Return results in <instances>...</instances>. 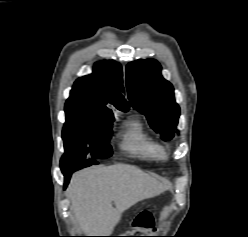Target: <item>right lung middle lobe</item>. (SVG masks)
Listing matches in <instances>:
<instances>
[{
	"label": "right lung middle lobe",
	"instance_id": "dd1d6c3e",
	"mask_svg": "<svg viewBox=\"0 0 248 237\" xmlns=\"http://www.w3.org/2000/svg\"><path fill=\"white\" fill-rule=\"evenodd\" d=\"M66 122L62 138L65 154L61 163L83 161L87 154L93 159L112 155L109 144L114 116H97L83 110L65 106Z\"/></svg>",
	"mask_w": 248,
	"mask_h": 237
}]
</instances>
